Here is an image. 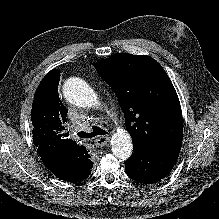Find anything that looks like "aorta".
<instances>
[{
	"label": "aorta",
	"mask_w": 219,
	"mask_h": 219,
	"mask_svg": "<svg viewBox=\"0 0 219 219\" xmlns=\"http://www.w3.org/2000/svg\"><path fill=\"white\" fill-rule=\"evenodd\" d=\"M64 98L71 104L92 108L98 105V97L92 87L79 78L68 79L63 85ZM111 149L120 160H127L132 153L133 143L129 132L125 129H117L111 137Z\"/></svg>",
	"instance_id": "obj_1"
}]
</instances>
